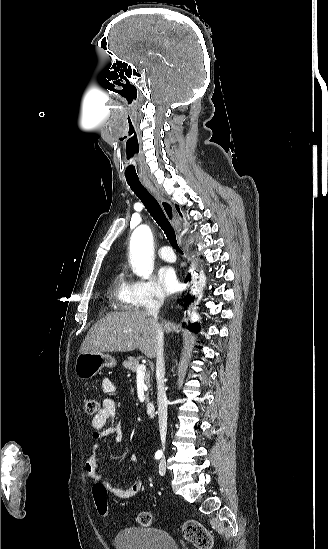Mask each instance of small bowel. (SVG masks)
<instances>
[{
  "label": "small bowel",
  "instance_id": "1",
  "mask_svg": "<svg viewBox=\"0 0 328 549\" xmlns=\"http://www.w3.org/2000/svg\"><path fill=\"white\" fill-rule=\"evenodd\" d=\"M102 390L106 394H114L116 387L114 382L109 378H104L102 381ZM117 414L116 402L112 398H105L102 402V407L94 415L92 419L93 437L100 439L103 437H111L114 441L120 442L122 440V428L119 423H115L114 419ZM138 457L132 455L129 458V462L136 463ZM86 473L93 479L94 482L102 481L99 467V447L94 445L86 460ZM109 490L117 497L122 499H130L139 493L142 488L141 481H135L126 488H119L112 485L108 486Z\"/></svg>",
  "mask_w": 328,
  "mask_h": 549
}]
</instances>
